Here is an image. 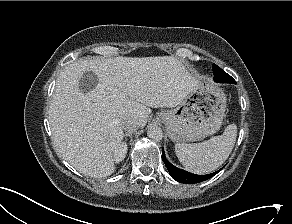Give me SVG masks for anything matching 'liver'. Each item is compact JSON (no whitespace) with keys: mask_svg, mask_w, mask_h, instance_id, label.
<instances>
[{"mask_svg":"<svg viewBox=\"0 0 292 224\" xmlns=\"http://www.w3.org/2000/svg\"><path fill=\"white\" fill-rule=\"evenodd\" d=\"M98 81L80 90L84 74ZM200 77L174 56L80 59L56 81L49 123L57 151L85 176L102 178L115 170L113 154L121 145L120 122L133 118L144 127L151 108L178 106Z\"/></svg>","mask_w":292,"mask_h":224,"instance_id":"obj_1","label":"liver"}]
</instances>
